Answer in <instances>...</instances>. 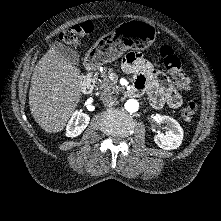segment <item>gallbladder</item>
Wrapping results in <instances>:
<instances>
[{
    "label": "gallbladder",
    "instance_id": "obj_1",
    "mask_svg": "<svg viewBox=\"0 0 221 221\" xmlns=\"http://www.w3.org/2000/svg\"><path fill=\"white\" fill-rule=\"evenodd\" d=\"M53 46L58 56H60L61 58L65 59L73 65H79L80 58L79 53L76 50L58 41L55 42Z\"/></svg>",
    "mask_w": 221,
    "mask_h": 221
}]
</instances>
